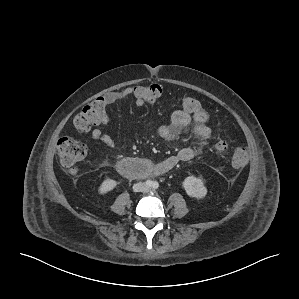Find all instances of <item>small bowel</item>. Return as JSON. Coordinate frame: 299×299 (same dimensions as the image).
Segmentation results:
<instances>
[{
  "instance_id": "small-bowel-1",
  "label": "small bowel",
  "mask_w": 299,
  "mask_h": 299,
  "mask_svg": "<svg viewBox=\"0 0 299 299\" xmlns=\"http://www.w3.org/2000/svg\"><path fill=\"white\" fill-rule=\"evenodd\" d=\"M131 96L135 97V103L137 106H143L145 102L136 97L134 87H128L120 91H112L106 93L103 97H100L105 103V106L111 105L118 101L126 100ZM210 117L208 113L200 108L199 110L188 113L184 110H177L171 116L169 124L162 125L158 133L161 138L167 141H173L178 139L181 135L193 134L197 139L196 147H184L180 149L176 154L166 158L159 163H150L152 167V173L150 175H162L172 170L180 162H186L193 159L198 153L201 152L210 139L212 138V131L208 126ZM109 122V116L105 111L104 115L97 123V126L92 130V138L104 144L105 146L114 149L115 142L113 138L104 131V127Z\"/></svg>"
}]
</instances>
